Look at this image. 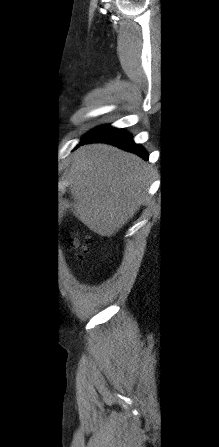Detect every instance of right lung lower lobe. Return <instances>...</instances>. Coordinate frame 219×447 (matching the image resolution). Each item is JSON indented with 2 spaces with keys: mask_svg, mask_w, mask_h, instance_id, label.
Returning <instances> with one entry per match:
<instances>
[{
  "mask_svg": "<svg viewBox=\"0 0 219 447\" xmlns=\"http://www.w3.org/2000/svg\"><path fill=\"white\" fill-rule=\"evenodd\" d=\"M91 142L109 143L126 151L136 153L145 160L148 159L147 152L143 149V147L135 144L132 140L131 135L124 129L106 127L98 133L90 137H86L80 144L83 145L85 143Z\"/></svg>",
  "mask_w": 219,
  "mask_h": 447,
  "instance_id": "right-lung-lower-lobe-1",
  "label": "right lung lower lobe"
}]
</instances>
